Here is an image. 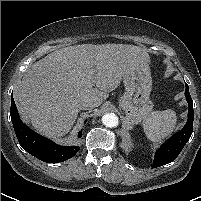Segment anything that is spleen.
<instances>
[{
    "label": "spleen",
    "instance_id": "obj_1",
    "mask_svg": "<svg viewBox=\"0 0 201 201\" xmlns=\"http://www.w3.org/2000/svg\"><path fill=\"white\" fill-rule=\"evenodd\" d=\"M176 123V113L167 109L150 113L143 121V128L147 138L156 143L170 135Z\"/></svg>",
    "mask_w": 201,
    "mask_h": 201
}]
</instances>
